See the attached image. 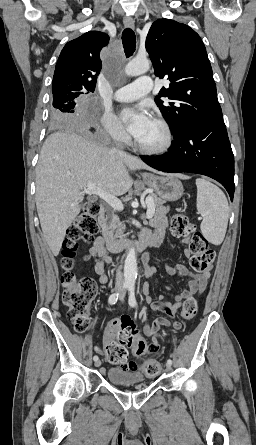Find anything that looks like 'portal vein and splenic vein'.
I'll list each match as a JSON object with an SVG mask.
<instances>
[{
	"instance_id": "portal-vein-and-splenic-vein-1",
	"label": "portal vein and splenic vein",
	"mask_w": 256,
	"mask_h": 445,
	"mask_svg": "<svg viewBox=\"0 0 256 445\" xmlns=\"http://www.w3.org/2000/svg\"><path fill=\"white\" fill-rule=\"evenodd\" d=\"M84 194H94L96 196H99L115 210H123L124 208L122 202L117 197L108 192L103 191L101 188L97 187L92 182H88L86 188H84L82 192V195ZM146 204H147L146 217L147 219H151L155 214V208L152 198H147Z\"/></svg>"
}]
</instances>
